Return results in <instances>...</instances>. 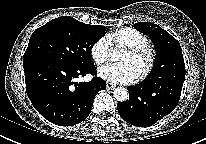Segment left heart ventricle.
<instances>
[{"mask_svg":"<svg viewBox=\"0 0 206 144\" xmlns=\"http://www.w3.org/2000/svg\"><path fill=\"white\" fill-rule=\"evenodd\" d=\"M145 61H146L145 57H143V56L142 57H136V56L131 55L127 51H124V53L122 54V56L120 58V62L130 64L134 68L137 75L144 68Z\"/></svg>","mask_w":206,"mask_h":144,"instance_id":"b2bd125f","label":"left heart ventricle"}]
</instances>
